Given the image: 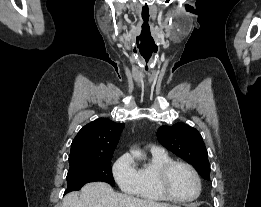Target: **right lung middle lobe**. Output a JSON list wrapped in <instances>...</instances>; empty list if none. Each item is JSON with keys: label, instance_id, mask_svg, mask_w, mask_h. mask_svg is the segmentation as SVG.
Returning a JSON list of instances; mask_svg holds the SVG:
<instances>
[{"label": "right lung middle lobe", "instance_id": "obj_1", "mask_svg": "<svg viewBox=\"0 0 261 207\" xmlns=\"http://www.w3.org/2000/svg\"><path fill=\"white\" fill-rule=\"evenodd\" d=\"M111 159H99L71 163L67 174L68 187L65 194L80 190L83 185L89 182L103 181L111 186L115 185L112 176Z\"/></svg>", "mask_w": 261, "mask_h": 207}]
</instances>
